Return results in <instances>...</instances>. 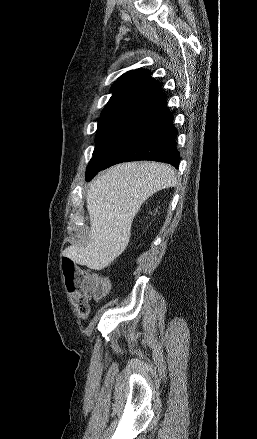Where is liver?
I'll list each match as a JSON object with an SVG mask.
<instances>
[{
  "mask_svg": "<svg viewBox=\"0 0 257 439\" xmlns=\"http://www.w3.org/2000/svg\"><path fill=\"white\" fill-rule=\"evenodd\" d=\"M174 169L156 162H129L98 175L86 196L90 218L88 240L63 255L90 269L102 270L126 249L134 217L156 192L176 185Z\"/></svg>",
  "mask_w": 257,
  "mask_h": 439,
  "instance_id": "1",
  "label": "liver"
}]
</instances>
